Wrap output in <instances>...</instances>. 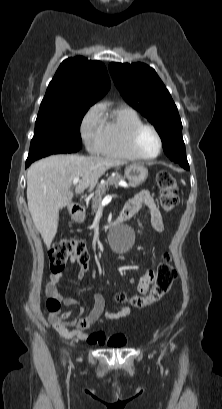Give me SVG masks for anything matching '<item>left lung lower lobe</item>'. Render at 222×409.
<instances>
[{
    "mask_svg": "<svg viewBox=\"0 0 222 409\" xmlns=\"http://www.w3.org/2000/svg\"><path fill=\"white\" fill-rule=\"evenodd\" d=\"M186 170H189V165H187Z\"/></svg>",
    "mask_w": 222,
    "mask_h": 409,
    "instance_id": "left-lung-lower-lobe-1",
    "label": "left lung lower lobe"
}]
</instances>
